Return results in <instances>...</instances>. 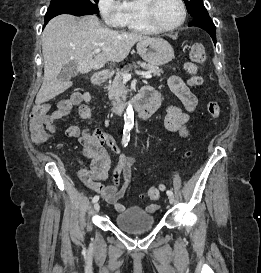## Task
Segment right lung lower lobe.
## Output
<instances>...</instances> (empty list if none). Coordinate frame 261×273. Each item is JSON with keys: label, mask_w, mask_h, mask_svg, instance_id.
Listing matches in <instances>:
<instances>
[{"label": "right lung lower lobe", "mask_w": 261, "mask_h": 273, "mask_svg": "<svg viewBox=\"0 0 261 273\" xmlns=\"http://www.w3.org/2000/svg\"><path fill=\"white\" fill-rule=\"evenodd\" d=\"M74 10H75V16H82V15H88L86 12H85V9L84 7L81 5V4H78L76 3L74 5ZM52 19V18H51ZM50 20V18H45V24L44 26L47 24V22Z\"/></svg>", "instance_id": "obj_1"}]
</instances>
